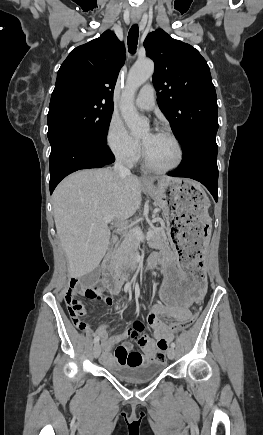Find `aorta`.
<instances>
[{
  "label": "aorta",
  "instance_id": "762f6f07",
  "mask_svg": "<svg viewBox=\"0 0 263 435\" xmlns=\"http://www.w3.org/2000/svg\"><path fill=\"white\" fill-rule=\"evenodd\" d=\"M153 72L154 63L147 59L135 63L128 74L127 87L121 105V114L134 136H141L149 130V123L137 113L133 104V98L136 90L153 75Z\"/></svg>",
  "mask_w": 263,
  "mask_h": 435
}]
</instances>
